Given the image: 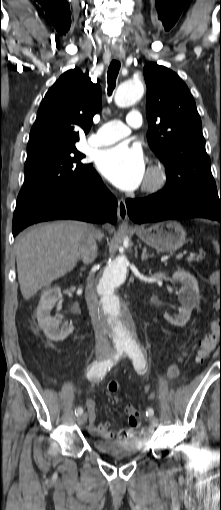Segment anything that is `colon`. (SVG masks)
I'll list each match as a JSON object with an SVG mask.
<instances>
[{"mask_svg":"<svg viewBox=\"0 0 221 510\" xmlns=\"http://www.w3.org/2000/svg\"><path fill=\"white\" fill-rule=\"evenodd\" d=\"M213 282L220 288L221 292V272L220 274L215 275L212 278ZM221 343V307H220V316L219 318L212 324L211 331L208 332L200 341L198 345L197 351V359L199 361L205 360L212 351L216 348L217 344ZM108 392L116 393L119 389V384L116 381H111L107 386ZM116 401H119L116 398ZM138 415V412L136 411Z\"/></svg>","mask_w":221,"mask_h":510,"instance_id":"colon-1","label":"colon"}]
</instances>
